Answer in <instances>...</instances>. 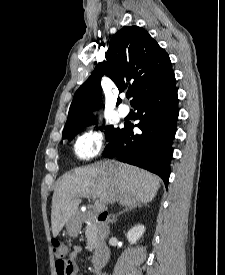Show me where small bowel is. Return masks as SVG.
Wrapping results in <instances>:
<instances>
[{"mask_svg":"<svg viewBox=\"0 0 225 275\" xmlns=\"http://www.w3.org/2000/svg\"><path fill=\"white\" fill-rule=\"evenodd\" d=\"M81 252H82V247L77 245L73 248V250L69 254L68 264L71 268V272L67 275H76L77 274V271H78L77 259L80 256Z\"/></svg>","mask_w":225,"mask_h":275,"instance_id":"1","label":"small bowel"}]
</instances>
